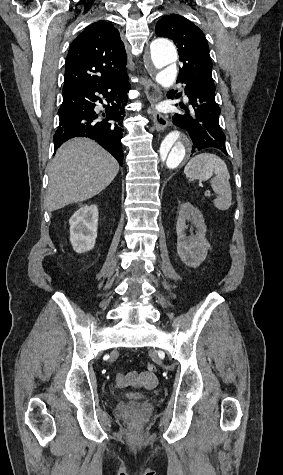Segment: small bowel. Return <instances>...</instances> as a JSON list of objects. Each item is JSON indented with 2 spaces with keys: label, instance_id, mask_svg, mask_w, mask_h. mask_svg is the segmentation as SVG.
I'll use <instances>...</instances> for the list:
<instances>
[{
  "label": "small bowel",
  "instance_id": "obj_1",
  "mask_svg": "<svg viewBox=\"0 0 283 475\" xmlns=\"http://www.w3.org/2000/svg\"><path fill=\"white\" fill-rule=\"evenodd\" d=\"M138 378H141L139 381L146 387H152L156 385L157 379L155 375H148V374H137ZM117 384L121 387H126L130 385L132 382L130 378V373L128 371H123L117 374L116 377Z\"/></svg>",
  "mask_w": 283,
  "mask_h": 475
}]
</instances>
